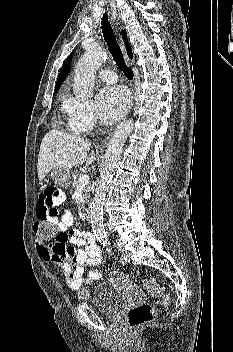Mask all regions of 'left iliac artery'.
<instances>
[{
    "label": "left iliac artery",
    "mask_w": 233,
    "mask_h": 352,
    "mask_svg": "<svg viewBox=\"0 0 233 352\" xmlns=\"http://www.w3.org/2000/svg\"><path fill=\"white\" fill-rule=\"evenodd\" d=\"M120 262H121L122 264H124V263H125V258H124V257H121V258H120Z\"/></svg>",
    "instance_id": "44dca946"
}]
</instances>
